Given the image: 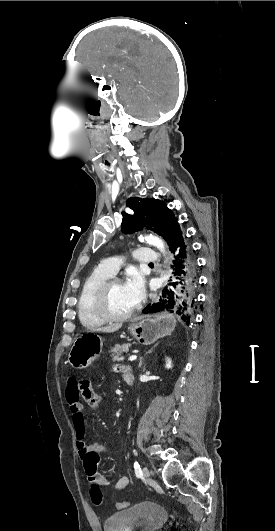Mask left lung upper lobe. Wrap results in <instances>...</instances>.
<instances>
[{
    "label": "left lung upper lobe",
    "instance_id": "5c2ea615",
    "mask_svg": "<svg viewBox=\"0 0 275 531\" xmlns=\"http://www.w3.org/2000/svg\"><path fill=\"white\" fill-rule=\"evenodd\" d=\"M127 206L133 210L134 215L122 212L121 228L124 233H133L146 226L167 241L171 230L178 223L173 212L161 200L132 197L127 200Z\"/></svg>",
    "mask_w": 275,
    "mask_h": 531
}]
</instances>
